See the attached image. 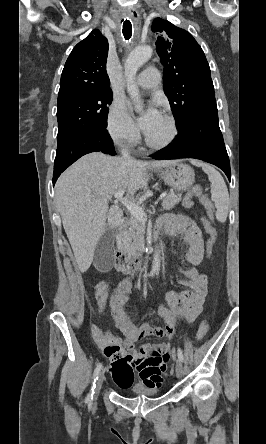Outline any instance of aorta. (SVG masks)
<instances>
[{"instance_id": "1", "label": "aorta", "mask_w": 266, "mask_h": 444, "mask_svg": "<svg viewBox=\"0 0 266 444\" xmlns=\"http://www.w3.org/2000/svg\"><path fill=\"white\" fill-rule=\"evenodd\" d=\"M153 50L150 46H140L134 49L125 61V76L127 80V90L130 97L138 105V111H142V106L140 104V94L138 87L134 83V78L137 74L138 69L150 59ZM160 250L156 248L153 255L152 262V272L159 273L160 269Z\"/></svg>"}]
</instances>
